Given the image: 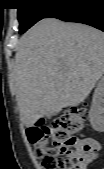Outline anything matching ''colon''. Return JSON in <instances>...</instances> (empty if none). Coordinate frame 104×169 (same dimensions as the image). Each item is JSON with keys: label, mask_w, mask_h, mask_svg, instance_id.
I'll list each match as a JSON object with an SVG mask.
<instances>
[{"label": "colon", "mask_w": 104, "mask_h": 169, "mask_svg": "<svg viewBox=\"0 0 104 169\" xmlns=\"http://www.w3.org/2000/svg\"><path fill=\"white\" fill-rule=\"evenodd\" d=\"M88 115L86 105H77L63 112L50 125L40 119L27 129V138L43 169H85L94 159V144L76 136L83 129Z\"/></svg>", "instance_id": "1"}]
</instances>
